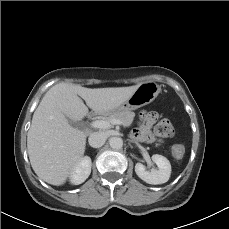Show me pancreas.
<instances>
[{"instance_id":"1","label":"pancreas","mask_w":229,"mask_h":229,"mask_svg":"<svg viewBox=\"0 0 229 229\" xmlns=\"http://www.w3.org/2000/svg\"><path fill=\"white\" fill-rule=\"evenodd\" d=\"M135 114L131 111L116 112L111 113L103 117L106 121H111L114 119L120 120L125 127H128L133 122Z\"/></svg>"}]
</instances>
